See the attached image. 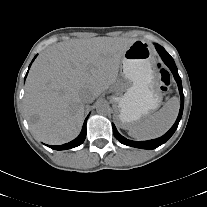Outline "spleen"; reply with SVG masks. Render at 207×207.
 I'll use <instances>...</instances> for the list:
<instances>
[{
	"instance_id": "spleen-1",
	"label": "spleen",
	"mask_w": 207,
	"mask_h": 207,
	"mask_svg": "<svg viewBox=\"0 0 207 207\" xmlns=\"http://www.w3.org/2000/svg\"><path fill=\"white\" fill-rule=\"evenodd\" d=\"M179 107V99L170 98L159 111L128 129V135L137 140H149L162 136L174 124Z\"/></svg>"
}]
</instances>
